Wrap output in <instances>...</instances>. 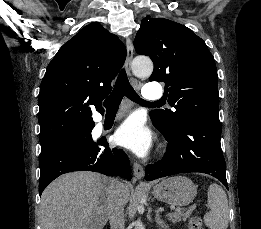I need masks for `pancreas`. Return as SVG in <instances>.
Instances as JSON below:
<instances>
[{
    "label": "pancreas",
    "instance_id": "cf45deb5",
    "mask_svg": "<svg viewBox=\"0 0 261 229\" xmlns=\"http://www.w3.org/2000/svg\"><path fill=\"white\" fill-rule=\"evenodd\" d=\"M192 211L193 207H190V211H181V213H169V221H171V223H180V221H187Z\"/></svg>",
    "mask_w": 261,
    "mask_h": 229
}]
</instances>
